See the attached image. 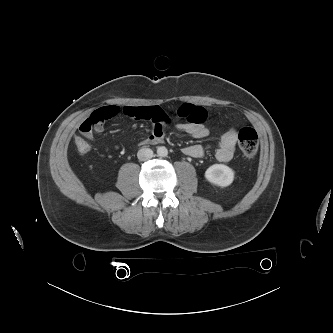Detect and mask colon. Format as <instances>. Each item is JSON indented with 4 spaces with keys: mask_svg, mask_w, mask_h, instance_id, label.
Wrapping results in <instances>:
<instances>
[{
    "mask_svg": "<svg viewBox=\"0 0 333 333\" xmlns=\"http://www.w3.org/2000/svg\"><path fill=\"white\" fill-rule=\"evenodd\" d=\"M75 146L80 153H86L90 150V144L87 139L76 136ZM258 135L251 127H242L238 132V144L241 152L247 158H253L258 150Z\"/></svg>",
    "mask_w": 333,
    "mask_h": 333,
    "instance_id": "obj_1",
    "label": "colon"
}]
</instances>
